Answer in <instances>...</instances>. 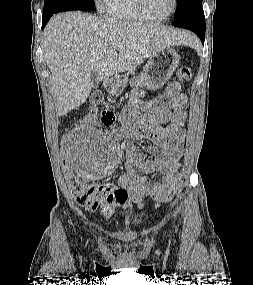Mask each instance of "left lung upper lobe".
I'll return each mask as SVG.
<instances>
[{"label": "left lung upper lobe", "instance_id": "obj_1", "mask_svg": "<svg viewBox=\"0 0 253 285\" xmlns=\"http://www.w3.org/2000/svg\"><path fill=\"white\" fill-rule=\"evenodd\" d=\"M202 7V0H177V12H175V22L191 13L193 10Z\"/></svg>", "mask_w": 253, "mask_h": 285}]
</instances>
